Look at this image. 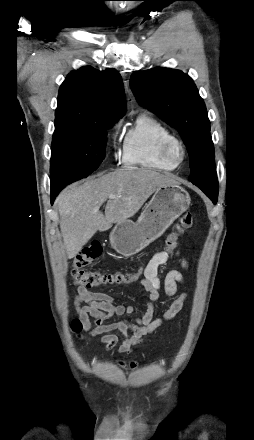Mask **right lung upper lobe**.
I'll return each instance as SVG.
<instances>
[{
	"instance_id": "1",
	"label": "right lung upper lobe",
	"mask_w": 254,
	"mask_h": 440,
	"mask_svg": "<svg viewBox=\"0 0 254 440\" xmlns=\"http://www.w3.org/2000/svg\"><path fill=\"white\" fill-rule=\"evenodd\" d=\"M125 109L123 82L118 71L84 67L70 73L60 86L55 116L99 123L117 121Z\"/></svg>"
}]
</instances>
